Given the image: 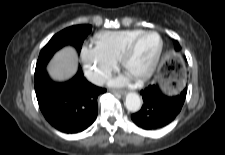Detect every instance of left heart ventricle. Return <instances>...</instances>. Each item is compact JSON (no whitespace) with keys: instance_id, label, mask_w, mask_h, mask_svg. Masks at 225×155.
<instances>
[{"instance_id":"left-heart-ventricle-1","label":"left heart ventricle","mask_w":225,"mask_h":155,"mask_svg":"<svg viewBox=\"0 0 225 155\" xmlns=\"http://www.w3.org/2000/svg\"><path fill=\"white\" fill-rule=\"evenodd\" d=\"M159 48V38L154 34L143 37L129 58L126 71L133 77L143 74L151 65Z\"/></svg>"}]
</instances>
